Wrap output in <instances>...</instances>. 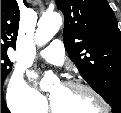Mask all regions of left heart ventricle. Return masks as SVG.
Returning a JSON list of instances; mask_svg holds the SVG:
<instances>
[{"label":"left heart ventricle","instance_id":"obj_1","mask_svg":"<svg viewBox=\"0 0 121 113\" xmlns=\"http://www.w3.org/2000/svg\"><path fill=\"white\" fill-rule=\"evenodd\" d=\"M50 99L59 113H102V104L90 93L71 90L58 84L50 90Z\"/></svg>","mask_w":121,"mask_h":113}]
</instances>
